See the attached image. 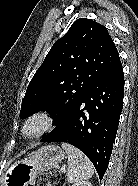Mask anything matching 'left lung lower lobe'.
<instances>
[{
  "instance_id": "obj_1",
  "label": "left lung lower lobe",
  "mask_w": 138,
  "mask_h": 186,
  "mask_svg": "<svg viewBox=\"0 0 138 186\" xmlns=\"http://www.w3.org/2000/svg\"><path fill=\"white\" fill-rule=\"evenodd\" d=\"M124 77L119 60L91 87L65 123L42 142H66L93 163L100 179L109 164L123 107Z\"/></svg>"
}]
</instances>
